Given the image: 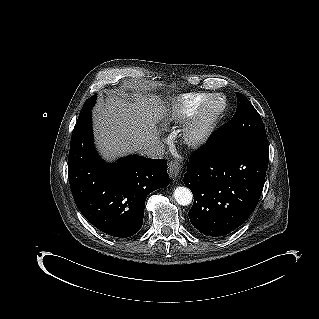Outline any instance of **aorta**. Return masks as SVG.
I'll list each match as a JSON object with an SVG mask.
<instances>
[{
    "mask_svg": "<svg viewBox=\"0 0 319 319\" xmlns=\"http://www.w3.org/2000/svg\"><path fill=\"white\" fill-rule=\"evenodd\" d=\"M173 195L176 202L182 206H187L192 202V192L186 187H177Z\"/></svg>",
    "mask_w": 319,
    "mask_h": 319,
    "instance_id": "aorta-1",
    "label": "aorta"
}]
</instances>
